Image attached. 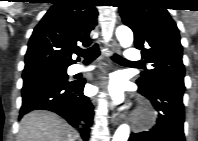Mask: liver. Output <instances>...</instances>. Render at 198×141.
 <instances>
[{
  "instance_id": "liver-1",
  "label": "liver",
  "mask_w": 198,
  "mask_h": 141,
  "mask_svg": "<svg viewBox=\"0 0 198 141\" xmlns=\"http://www.w3.org/2000/svg\"><path fill=\"white\" fill-rule=\"evenodd\" d=\"M78 133L55 113L36 110L25 115L17 141H76Z\"/></svg>"
}]
</instances>
